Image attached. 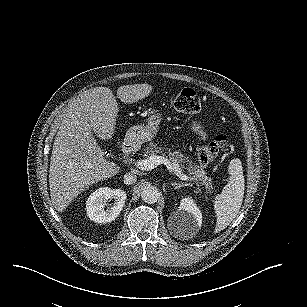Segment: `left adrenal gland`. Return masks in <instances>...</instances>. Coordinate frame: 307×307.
Instances as JSON below:
<instances>
[{
    "mask_svg": "<svg viewBox=\"0 0 307 307\" xmlns=\"http://www.w3.org/2000/svg\"><path fill=\"white\" fill-rule=\"evenodd\" d=\"M171 185L174 186L175 189H179V188H181V187L189 186V185H191V184L188 183V182H182V183L173 182V183H171Z\"/></svg>",
    "mask_w": 307,
    "mask_h": 307,
    "instance_id": "a2214340",
    "label": "left adrenal gland"
}]
</instances>
